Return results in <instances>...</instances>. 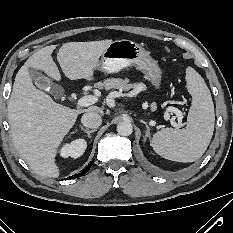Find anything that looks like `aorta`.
<instances>
[{
  "label": "aorta",
  "instance_id": "aorta-1",
  "mask_svg": "<svg viewBox=\"0 0 233 233\" xmlns=\"http://www.w3.org/2000/svg\"><path fill=\"white\" fill-rule=\"evenodd\" d=\"M117 132L122 136H129L133 132V127L130 122H121L117 125Z\"/></svg>",
  "mask_w": 233,
  "mask_h": 233
}]
</instances>
